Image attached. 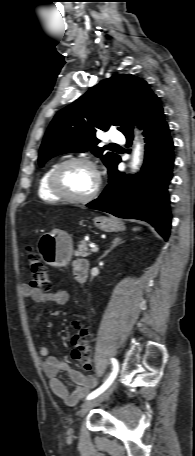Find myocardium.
I'll use <instances>...</instances> for the list:
<instances>
[{
	"mask_svg": "<svg viewBox=\"0 0 195 456\" xmlns=\"http://www.w3.org/2000/svg\"><path fill=\"white\" fill-rule=\"evenodd\" d=\"M76 163L84 164V165H87L88 167H90L93 170L95 177H96V182H95V186H94L93 190L89 194H87L85 196H81V197L68 194L65 191V189L63 188L61 181H60V176H61L62 171L67 166H69L71 164H76ZM48 185H49L51 192L61 200H64V201L70 202V203H87V202L93 200L97 196V194L100 190V187H101V176H100V173H99L96 165L90 159L85 158V157H71V158L63 160L62 162H60L54 166V168L52 169V171L49 175Z\"/></svg>",
	"mask_w": 195,
	"mask_h": 456,
	"instance_id": "f54148a6",
	"label": "myocardium"
}]
</instances>
